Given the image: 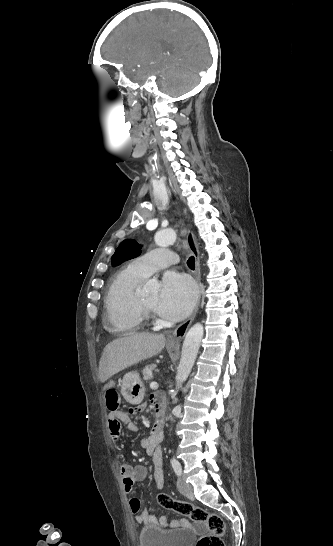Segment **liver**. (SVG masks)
Listing matches in <instances>:
<instances>
[{
	"label": "liver",
	"instance_id": "obj_1",
	"mask_svg": "<svg viewBox=\"0 0 333 546\" xmlns=\"http://www.w3.org/2000/svg\"><path fill=\"white\" fill-rule=\"evenodd\" d=\"M163 335L130 333L115 339L103 351L99 362V379L102 383L114 374L144 359L159 354L165 346Z\"/></svg>",
	"mask_w": 333,
	"mask_h": 546
}]
</instances>
